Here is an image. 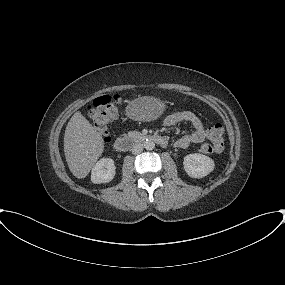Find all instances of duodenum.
<instances>
[{"instance_id":"obj_1","label":"duodenum","mask_w":285,"mask_h":285,"mask_svg":"<svg viewBox=\"0 0 285 285\" xmlns=\"http://www.w3.org/2000/svg\"><path fill=\"white\" fill-rule=\"evenodd\" d=\"M147 140L154 141L160 146L168 145V139L165 136H160V135H142L135 138L128 136H121L114 141L113 148L118 152H125L128 151L130 148H132L136 142L147 141Z\"/></svg>"}]
</instances>
